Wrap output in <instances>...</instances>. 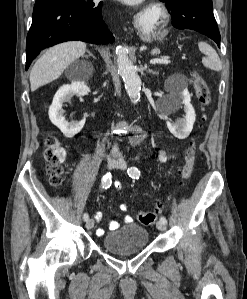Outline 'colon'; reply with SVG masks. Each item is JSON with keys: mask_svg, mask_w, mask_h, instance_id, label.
Wrapping results in <instances>:
<instances>
[{"mask_svg": "<svg viewBox=\"0 0 247 299\" xmlns=\"http://www.w3.org/2000/svg\"><path fill=\"white\" fill-rule=\"evenodd\" d=\"M192 83L199 103L203 108L207 107L210 103V91L207 83L197 72L192 73ZM45 144L44 159L46 161V171L50 177L51 184L58 186L63 180L64 169L62 162L65 158V151L55 136H48ZM184 158V165L180 173L182 181L186 182L191 177L196 158L195 145L193 143L186 149ZM120 189L121 185L119 183L118 190ZM161 207L162 205L158 204L155 211L140 212L138 214L139 222L143 225H152L157 220V213Z\"/></svg>", "mask_w": 247, "mask_h": 299, "instance_id": "1", "label": "colon"}]
</instances>
